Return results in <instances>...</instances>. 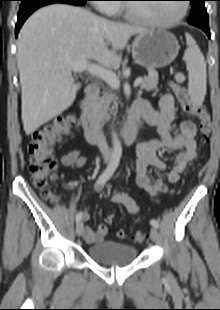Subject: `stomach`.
<instances>
[{
	"label": "stomach",
	"instance_id": "0dacf381",
	"mask_svg": "<svg viewBox=\"0 0 220 310\" xmlns=\"http://www.w3.org/2000/svg\"><path fill=\"white\" fill-rule=\"evenodd\" d=\"M176 37L162 29L148 30L136 36L132 56L136 63L148 69L170 65L179 52Z\"/></svg>",
	"mask_w": 220,
	"mask_h": 310
}]
</instances>
